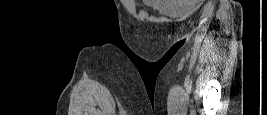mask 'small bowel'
Segmentation results:
<instances>
[{
  "instance_id": "obj_1",
  "label": "small bowel",
  "mask_w": 267,
  "mask_h": 115,
  "mask_svg": "<svg viewBox=\"0 0 267 115\" xmlns=\"http://www.w3.org/2000/svg\"><path fill=\"white\" fill-rule=\"evenodd\" d=\"M147 5L163 14L183 15L195 10L196 0H147Z\"/></svg>"
}]
</instances>
